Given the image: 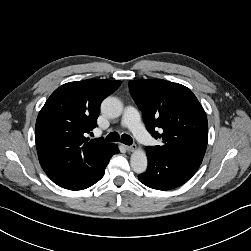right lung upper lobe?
I'll use <instances>...</instances> for the list:
<instances>
[{
    "label": "right lung upper lobe",
    "instance_id": "cb5924a9",
    "mask_svg": "<svg viewBox=\"0 0 251 251\" xmlns=\"http://www.w3.org/2000/svg\"><path fill=\"white\" fill-rule=\"evenodd\" d=\"M121 81L88 79L56 89L40 110L35 138L38 157L46 173H72L89 166L112 144L85 137L97 126L100 104Z\"/></svg>",
    "mask_w": 251,
    "mask_h": 251
}]
</instances>
